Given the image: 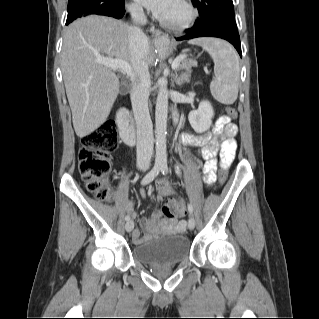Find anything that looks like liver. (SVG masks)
<instances>
[{"mask_svg": "<svg viewBox=\"0 0 319 319\" xmlns=\"http://www.w3.org/2000/svg\"><path fill=\"white\" fill-rule=\"evenodd\" d=\"M128 34L126 23L98 15L78 19L65 31L62 74L73 127L80 138L106 121L119 93V78L115 72L96 59L106 55L131 63ZM148 48L149 54L152 52L149 43Z\"/></svg>", "mask_w": 319, "mask_h": 319, "instance_id": "6515ba94", "label": "liver"}]
</instances>
